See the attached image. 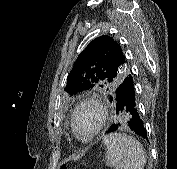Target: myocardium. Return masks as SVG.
I'll return each mask as SVG.
<instances>
[{
	"instance_id": "f54148a6",
	"label": "myocardium",
	"mask_w": 177,
	"mask_h": 169,
	"mask_svg": "<svg viewBox=\"0 0 177 169\" xmlns=\"http://www.w3.org/2000/svg\"><path fill=\"white\" fill-rule=\"evenodd\" d=\"M86 107H90L94 109L98 115V125L96 129L89 135H83L76 123L78 113ZM107 121V111L105 107L95 98H84L82 99L74 108L72 115H71V127L74 134L82 141H89L96 137L104 128Z\"/></svg>"
}]
</instances>
